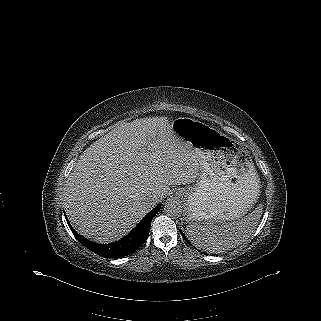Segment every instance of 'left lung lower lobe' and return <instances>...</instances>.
<instances>
[{
    "mask_svg": "<svg viewBox=\"0 0 321 321\" xmlns=\"http://www.w3.org/2000/svg\"><path fill=\"white\" fill-rule=\"evenodd\" d=\"M180 232H181V235H182V237L188 242V243H190L188 240H187V238L185 237V235L183 234V232L180 230Z\"/></svg>",
    "mask_w": 321,
    "mask_h": 321,
    "instance_id": "left-lung-lower-lobe-1",
    "label": "left lung lower lobe"
}]
</instances>
